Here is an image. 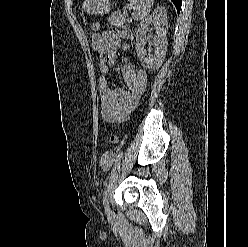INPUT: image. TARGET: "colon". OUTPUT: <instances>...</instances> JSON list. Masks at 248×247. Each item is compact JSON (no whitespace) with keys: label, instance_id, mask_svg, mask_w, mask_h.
<instances>
[{"label":"colon","instance_id":"obj_1","mask_svg":"<svg viewBox=\"0 0 248 247\" xmlns=\"http://www.w3.org/2000/svg\"><path fill=\"white\" fill-rule=\"evenodd\" d=\"M91 30L93 32H99L100 30V22L99 21H93L91 23ZM147 86V75L144 70H139L136 74L135 81L133 83L131 93L134 100H139L140 97L143 95V93L146 90Z\"/></svg>","mask_w":248,"mask_h":247}]
</instances>
